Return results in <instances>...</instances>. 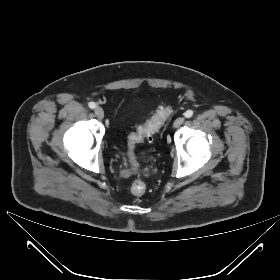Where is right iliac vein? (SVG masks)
<instances>
[{
	"label": "right iliac vein",
	"mask_w": 280,
	"mask_h": 280,
	"mask_svg": "<svg viewBox=\"0 0 280 280\" xmlns=\"http://www.w3.org/2000/svg\"><path fill=\"white\" fill-rule=\"evenodd\" d=\"M94 113L99 119H102L104 117V111L99 106L95 108Z\"/></svg>",
	"instance_id": "63e3f726"
}]
</instances>
